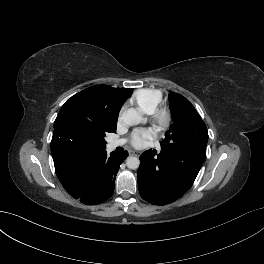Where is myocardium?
<instances>
[{
  "label": "myocardium",
  "instance_id": "f54148a6",
  "mask_svg": "<svg viewBox=\"0 0 264 264\" xmlns=\"http://www.w3.org/2000/svg\"><path fill=\"white\" fill-rule=\"evenodd\" d=\"M154 123L160 129H168L173 123V113L168 106H159L152 115Z\"/></svg>",
  "mask_w": 264,
  "mask_h": 264
}]
</instances>
